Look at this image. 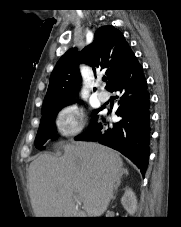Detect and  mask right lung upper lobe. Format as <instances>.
<instances>
[{
	"mask_svg": "<svg viewBox=\"0 0 181 227\" xmlns=\"http://www.w3.org/2000/svg\"><path fill=\"white\" fill-rule=\"evenodd\" d=\"M131 56H134V53L118 29L109 25L100 27L90 45L82 51L70 49L57 62L51 73L42 109L73 101L80 89L81 75L78 67L80 63L92 67L94 73L105 71L108 89Z\"/></svg>",
	"mask_w": 181,
	"mask_h": 227,
	"instance_id": "obj_1",
	"label": "right lung upper lobe"
}]
</instances>
